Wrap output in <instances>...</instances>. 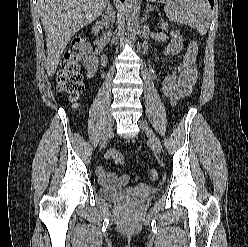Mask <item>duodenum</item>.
I'll return each mask as SVG.
<instances>
[{"label":"duodenum","mask_w":248,"mask_h":247,"mask_svg":"<svg viewBox=\"0 0 248 247\" xmlns=\"http://www.w3.org/2000/svg\"><path fill=\"white\" fill-rule=\"evenodd\" d=\"M101 23H97L96 25H95V27H94V32H95V34L98 36L99 35V32H100V30H101ZM98 42H99V44L101 45V46H104V44H105V40H104V38L103 37H98ZM102 60H103V63L104 64H106L107 63V61H108V55H107V53H103V55H102Z\"/></svg>","instance_id":"410a0bca"}]
</instances>
